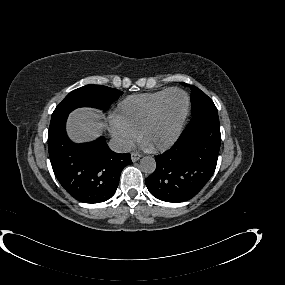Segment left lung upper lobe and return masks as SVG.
Wrapping results in <instances>:
<instances>
[{
  "label": "left lung upper lobe",
  "instance_id": "1",
  "mask_svg": "<svg viewBox=\"0 0 285 285\" xmlns=\"http://www.w3.org/2000/svg\"><path fill=\"white\" fill-rule=\"evenodd\" d=\"M185 87L187 86L186 83H182ZM191 113L195 115L198 111L202 110L206 107L215 106L213 101L199 88L195 86H191Z\"/></svg>",
  "mask_w": 285,
  "mask_h": 285
}]
</instances>
